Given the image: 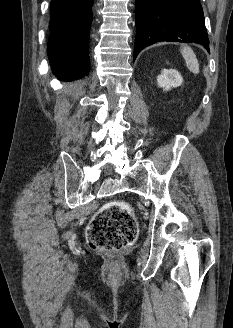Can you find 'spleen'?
I'll return each mask as SVG.
<instances>
[{"mask_svg": "<svg viewBox=\"0 0 233 328\" xmlns=\"http://www.w3.org/2000/svg\"><path fill=\"white\" fill-rule=\"evenodd\" d=\"M180 52L185 59L186 65L188 69L194 73L198 74L199 73V63L196 58V55L194 51L189 47V46H184L180 49Z\"/></svg>", "mask_w": 233, "mask_h": 328, "instance_id": "1", "label": "spleen"}]
</instances>
